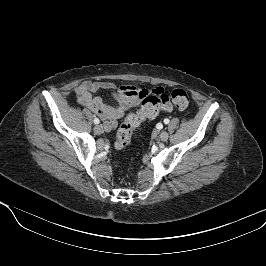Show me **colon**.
Returning a JSON list of instances; mask_svg holds the SVG:
<instances>
[{
  "label": "colon",
  "instance_id": "colon-1",
  "mask_svg": "<svg viewBox=\"0 0 266 266\" xmlns=\"http://www.w3.org/2000/svg\"><path fill=\"white\" fill-rule=\"evenodd\" d=\"M188 106L189 97L183 89H174L170 93L156 91L144 94L140 109L129 114L120 125L115 147L117 149L128 147L133 130L144 120L154 118L160 111H169L173 108L184 110Z\"/></svg>",
  "mask_w": 266,
  "mask_h": 266
}]
</instances>
